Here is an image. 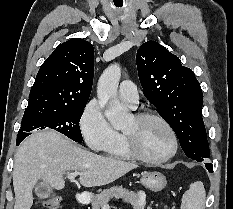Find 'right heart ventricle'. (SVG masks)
Wrapping results in <instances>:
<instances>
[{"instance_id": "right-heart-ventricle-1", "label": "right heart ventricle", "mask_w": 233, "mask_h": 209, "mask_svg": "<svg viewBox=\"0 0 233 209\" xmlns=\"http://www.w3.org/2000/svg\"><path fill=\"white\" fill-rule=\"evenodd\" d=\"M103 151L107 156L111 158H116L121 160H129L132 158L125 146V140L123 134H119V133L115 142Z\"/></svg>"}]
</instances>
